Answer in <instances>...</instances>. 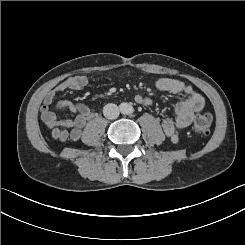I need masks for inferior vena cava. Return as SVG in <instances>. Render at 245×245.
<instances>
[{
	"instance_id": "obj_1",
	"label": "inferior vena cava",
	"mask_w": 245,
	"mask_h": 245,
	"mask_svg": "<svg viewBox=\"0 0 245 245\" xmlns=\"http://www.w3.org/2000/svg\"><path fill=\"white\" fill-rule=\"evenodd\" d=\"M119 108L116 104L109 103L104 106L103 108V114L107 119H116L119 116Z\"/></svg>"
}]
</instances>
